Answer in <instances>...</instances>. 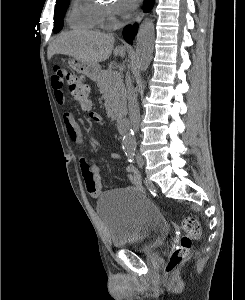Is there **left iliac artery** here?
<instances>
[{
	"mask_svg": "<svg viewBox=\"0 0 245 300\" xmlns=\"http://www.w3.org/2000/svg\"><path fill=\"white\" fill-rule=\"evenodd\" d=\"M125 153L128 156L129 162H133L134 155H135V149L134 148L127 149Z\"/></svg>",
	"mask_w": 245,
	"mask_h": 300,
	"instance_id": "left-iliac-artery-1",
	"label": "left iliac artery"
}]
</instances>
